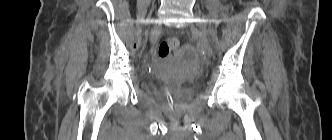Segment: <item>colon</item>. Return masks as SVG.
Segmentation results:
<instances>
[{"mask_svg": "<svg viewBox=\"0 0 332 140\" xmlns=\"http://www.w3.org/2000/svg\"><path fill=\"white\" fill-rule=\"evenodd\" d=\"M179 47V40L175 37L162 41L158 47L157 54L160 58L168 57Z\"/></svg>", "mask_w": 332, "mask_h": 140, "instance_id": "obj_1", "label": "colon"}]
</instances>
